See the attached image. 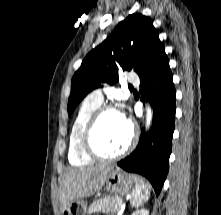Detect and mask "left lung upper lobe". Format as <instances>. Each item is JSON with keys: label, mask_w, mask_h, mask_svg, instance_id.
<instances>
[{"label": "left lung upper lobe", "mask_w": 221, "mask_h": 215, "mask_svg": "<svg viewBox=\"0 0 221 215\" xmlns=\"http://www.w3.org/2000/svg\"><path fill=\"white\" fill-rule=\"evenodd\" d=\"M162 48L164 45L152 20L138 13L129 15L106 40L86 55L75 72L68 114L93 89L118 82L119 70H134L141 76Z\"/></svg>", "instance_id": "left-lung-upper-lobe-1"}]
</instances>
